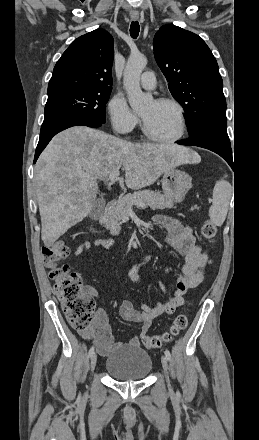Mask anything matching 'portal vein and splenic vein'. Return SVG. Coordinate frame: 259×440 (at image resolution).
Listing matches in <instances>:
<instances>
[{
    "label": "portal vein and splenic vein",
    "instance_id": "18ae733b",
    "mask_svg": "<svg viewBox=\"0 0 259 440\" xmlns=\"http://www.w3.org/2000/svg\"><path fill=\"white\" fill-rule=\"evenodd\" d=\"M119 175H120L119 171L112 172V173L109 174L108 179L113 183V182H115L118 179ZM137 205L139 207H141V208L145 207V205L140 203V202H137Z\"/></svg>",
    "mask_w": 259,
    "mask_h": 440
}]
</instances>
